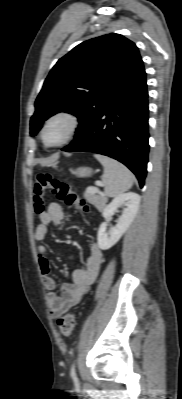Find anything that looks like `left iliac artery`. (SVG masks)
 <instances>
[{
    "label": "left iliac artery",
    "mask_w": 182,
    "mask_h": 399,
    "mask_svg": "<svg viewBox=\"0 0 182 399\" xmlns=\"http://www.w3.org/2000/svg\"><path fill=\"white\" fill-rule=\"evenodd\" d=\"M71 376H72V377H75V376H76V373H75V365H74V364H73L72 367H71Z\"/></svg>",
    "instance_id": "44dca946"
}]
</instances>
